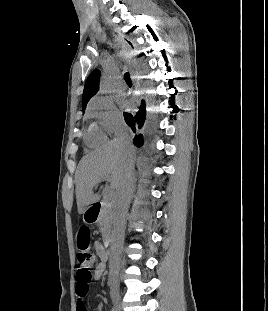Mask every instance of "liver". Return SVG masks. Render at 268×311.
<instances>
[{
	"mask_svg": "<svg viewBox=\"0 0 268 311\" xmlns=\"http://www.w3.org/2000/svg\"><path fill=\"white\" fill-rule=\"evenodd\" d=\"M135 161V149L119 139H114L103 147L84 156L79 163L76 174V200L79 214L85 212L87 206L100 200L99 193L93 188L106 177L111 179V188L116 195L125 180L126 172ZM102 189V187H101Z\"/></svg>",
	"mask_w": 268,
	"mask_h": 311,
	"instance_id": "liver-1",
	"label": "liver"
}]
</instances>
